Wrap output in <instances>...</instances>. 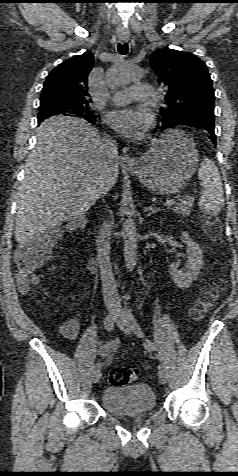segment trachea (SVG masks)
I'll list each match as a JSON object with an SVG mask.
<instances>
[{
  "instance_id": "3493384b",
  "label": "trachea",
  "mask_w": 238,
  "mask_h": 476,
  "mask_svg": "<svg viewBox=\"0 0 238 476\" xmlns=\"http://www.w3.org/2000/svg\"><path fill=\"white\" fill-rule=\"evenodd\" d=\"M129 47L127 43L118 44V52L122 55H126L128 53Z\"/></svg>"
}]
</instances>
